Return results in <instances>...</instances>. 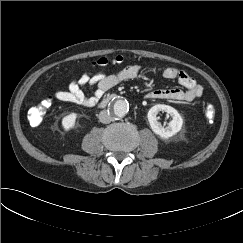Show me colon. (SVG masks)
<instances>
[{"label": "colon", "mask_w": 243, "mask_h": 243, "mask_svg": "<svg viewBox=\"0 0 243 243\" xmlns=\"http://www.w3.org/2000/svg\"><path fill=\"white\" fill-rule=\"evenodd\" d=\"M125 61V58L118 56L109 61L106 58H101L93 63L94 67L105 68L109 64L118 65ZM51 98L45 99L37 106L32 107L28 112V121L32 126H38L43 121L46 110L51 106ZM215 108L212 105H208L205 109V117L208 121H212L215 118Z\"/></svg>", "instance_id": "5ec220e1"}]
</instances>
